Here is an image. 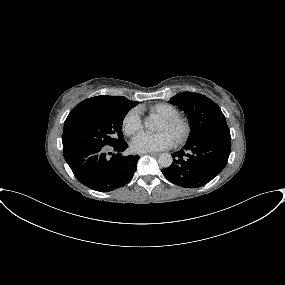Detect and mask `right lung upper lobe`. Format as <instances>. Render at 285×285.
Instances as JSON below:
<instances>
[{
  "label": "right lung upper lobe",
  "instance_id": "right-lung-upper-lobe-1",
  "mask_svg": "<svg viewBox=\"0 0 285 285\" xmlns=\"http://www.w3.org/2000/svg\"><path fill=\"white\" fill-rule=\"evenodd\" d=\"M135 101H130L122 96H95L79 103L68 115L64 123V128L75 121L79 116L90 111L111 108L128 107L134 105Z\"/></svg>",
  "mask_w": 285,
  "mask_h": 285
}]
</instances>
